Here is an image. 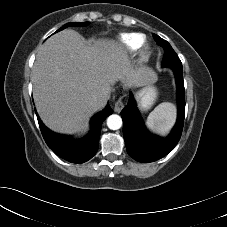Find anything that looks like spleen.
<instances>
[{"instance_id": "3e777b00", "label": "spleen", "mask_w": 227, "mask_h": 227, "mask_svg": "<svg viewBox=\"0 0 227 227\" xmlns=\"http://www.w3.org/2000/svg\"><path fill=\"white\" fill-rule=\"evenodd\" d=\"M175 106L172 103H161L148 116L147 126L155 131L164 132L175 121Z\"/></svg>"}]
</instances>
